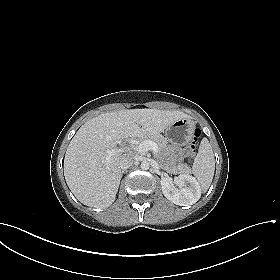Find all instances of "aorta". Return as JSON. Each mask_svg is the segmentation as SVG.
<instances>
[{"label":"aorta","instance_id":"obj_1","mask_svg":"<svg viewBox=\"0 0 280 280\" xmlns=\"http://www.w3.org/2000/svg\"><path fill=\"white\" fill-rule=\"evenodd\" d=\"M149 167H150L149 162L143 161V162L141 163V169H143V170H148Z\"/></svg>","mask_w":280,"mask_h":280}]
</instances>
